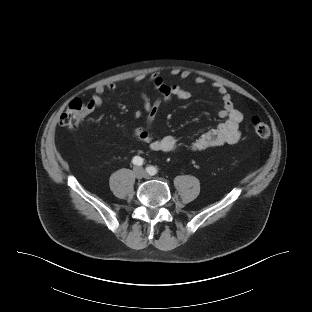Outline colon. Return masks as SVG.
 <instances>
[{
	"label": "colon",
	"mask_w": 312,
	"mask_h": 312,
	"mask_svg": "<svg viewBox=\"0 0 312 312\" xmlns=\"http://www.w3.org/2000/svg\"><path fill=\"white\" fill-rule=\"evenodd\" d=\"M88 114V106L79 99L72 100L64 113L61 115L59 123L63 127L74 130L79 127L84 118ZM251 125L255 134L262 139H267L270 136L269 125L259 117L251 119Z\"/></svg>",
	"instance_id": "1"
}]
</instances>
